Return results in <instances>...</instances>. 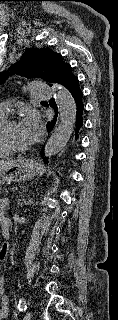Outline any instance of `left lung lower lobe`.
Returning a JSON list of instances; mask_svg holds the SVG:
<instances>
[{
    "instance_id": "1",
    "label": "left lung lower lobe",
    "mask_w": 118,
    "mask_h": 320,
    "mask_svg": "<svg viewBox=\"0 0 118 320\" xmlns=\"http://www.w3.org/2000/svg\"><path fill=\"white\" fill-rule=\"evenodd\" d=\"M60 84L63 85L71 93L72 97L74 98V101L76 104V110H77L75 136L76 138H78V130L83 126V119H82L83 110H84V105L82 102L83 93L79 87L78 78L72 73L71 69H69L65 77L61 80ZM50 105L55 110H57L54 100L51 101ZM55 122H56V116L51 123L47 124L48 132H50L53 129ZM43 152L44 150L42 149L41 150L42 155L44 154ZM44 160L46 161L47 158Z\"/></svg>"
}]
</instances>
